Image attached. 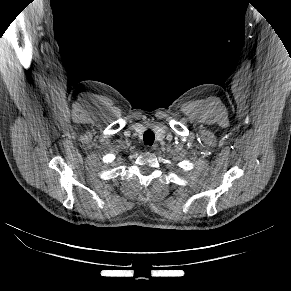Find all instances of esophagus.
I'll list each match as a JSON object with an SVG mask.
<instances>
[{"mask_svg":"<svg viewBox=\"0 0 291 291\" xmlns=\"http://www.w3.org/2000/svg\"><path fill=\"white\" fill-rule=\"evenodd\" d=\"M154 149H155L154 146H153V147H147V148H146L147 151H153Z\"/></svg>","mask_w":291,"mask_h":291,"instance_id":"obj_1","label":"esophagus"}]
</instances>
